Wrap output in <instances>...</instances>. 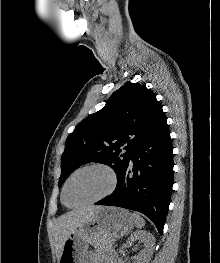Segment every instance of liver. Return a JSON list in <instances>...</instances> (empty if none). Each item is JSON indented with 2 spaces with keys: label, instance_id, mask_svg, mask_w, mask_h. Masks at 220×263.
I'll return each mask as SVG.
<instances>
[{
  "label": "liver",
  "instance_id": "obj_1",
  "mask_svg": "<svg viewBox=\"0 0 220 263\" xmlns=\"http://www.w3.org/2000/svg\"><path fill=\"white\" fill-rule=\"evenodd\" d=\"M101 206H86L70 211L60 216L54 226L53 233L58 250V258L63 249L67 237L74 232L79 226L89 221L95 212L100 210Z\"/></svg>",
  "mask_w": 220,
  "mask_h": 263
}]
</instances>
